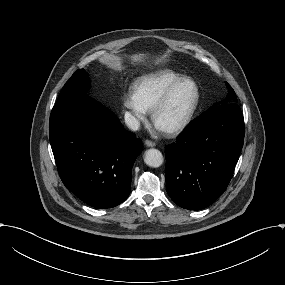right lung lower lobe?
<instances>
[{
	"instance_id": "obj_1",
	"label": "right lung lower lobe",
	"mask_w": 285,
	"mask_h": 285,
	"mask_svg": "<svg viewBox=\"0 0 285 285\" xmlns=\"http://www.w3.org/2000/svg\"><path fill=\"white\" fill-rule=\"evenodd\" d=\"M49 137L60 178L78 198L104 209L128 197L142 144L109 109L86 94L59 99Z\"/></svg>"
}]
</instances>
